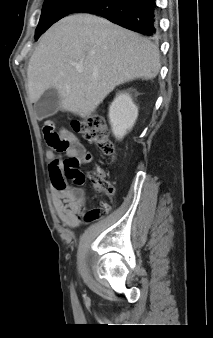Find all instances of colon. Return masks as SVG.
Returning <instances> with one entry per match:
<instances>
[{"mask_svg":"<svg viewBox=\"0 0 213 338\" xmlns=\"http://www.w3.org/2000/svg\"><path fill=\"white\" fill-rule=\"evenodd\" d=\"M74 126L77 131L93 146L104 155L111 156L114 153V145L109 138L104 121L99 117H90L82 120H75ZM68 140L60 142L58 150L64 152L70 147ZM50 182L53 186H59L61 182L73 181L78 185L88 183L95 191L106 196H112L114 188L104 179L103 170L96 166L89 173H84L79 168V161L76 157L66 158L63 165L52 161L48 167ZM110 210L107 202L90 210L87 215L88 221H95L104 217Z\"/></svg>","mask_w":213,"mask_h":338,"instance_id":"obj_1","label":"colon"}]
</instances>
